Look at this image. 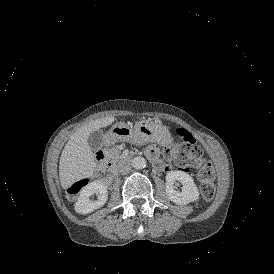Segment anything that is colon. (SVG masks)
<instances>
[{
  "instance_id": "obj_1",
  "label": "colon",
  "mask_w": 274,
  "mask_h": 274,
  "mask_svg": "<svg viewBox=\"0 0 274 274\" xmlns=\"http://www.w3.org/2000/svg\"><path fill=\"white\" fill-rule=\"evenodd\" d=\"M197 146L189 145L182 141L167 147L164 150V158L174 163L176 168L193 167L198 172L201 195L210 200L215 195V172L211 163L200 160L196 156ZM90 176L80 175L79 180H70L67 188L68 195L77 194L80 189H89Z\"/></svg>"
}]
</instances>
